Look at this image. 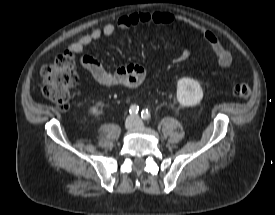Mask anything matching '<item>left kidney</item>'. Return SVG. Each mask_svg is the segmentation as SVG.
<instances>
[{
  "instance_id": "obj_1",
  "label": "left kidney",
  "mask_w": 275,
  "mask_h": 215,
  "mask_svg": "<svg viewBox=\"0 0 275 215\" xmlns=\"http://www.w3.org/2000/svg\"><path fill=\"white\" fill-rule=\"evenodd\" d=\"M203 98V90L198 81L180 78L177 82V100L182 106H194Z\"/></svg>"
}]
</instances>
